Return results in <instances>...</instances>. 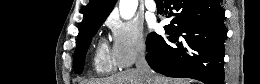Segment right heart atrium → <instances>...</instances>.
Wrapping results in <instances>:
<instances>
[{
    "mask_svg": "<svg viewBox=\"0 0 260 84\" xmlns=\"http://www.w3.org/2000/svg\"><path fill=\"white\" fill-rule=\"evenodd\" d=\"M106 26L111 33L110 54L116 66L129 67L146 54L147 42L139 23L109 18Z\"/></svg>",
    "mask_w": 260,
    "mask_h": 84,
    "instance_id": "1",
    "label": "right heart atrium"
}]
</instances>
